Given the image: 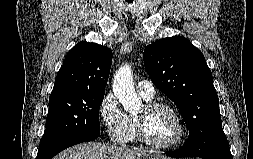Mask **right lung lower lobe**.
<instances>
[{"label": "right lung lower lobe", "mask_w": 253, "mask_h": 159, "mask_svg": "<svg viewBox=\"0 0 253 159\" xmlns=\"http://www.w3.org/2000/svg\"><path fill=\"white\" fill-rule=\"evenodd\" d=\"M99 134L100 132H82L74 134L55 143L42 154H37L36 159H51L57 153L72 145L96 139L99 136Z\"/></svg>", "instance_id": "98d812e1"}]
</instances>
